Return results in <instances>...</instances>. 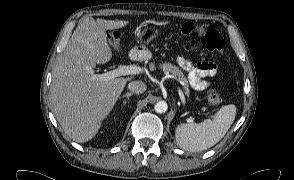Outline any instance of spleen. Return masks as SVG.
<instances>
[{
    "instance_id": "1",
    "label": "spleen",
    "mask_w": 294,
    "mask_h": 180,
    "mask_svg": "<svg viewBox=\"0 0 294 180\" xmlns=\"http://www.w3.org/2000/svg\"><path fill=\"white\" fill-rule=\"evenodd\" d=\"M235 117L233 106H223L200 124L181 123L176 126L177 143L187 150H204L215 145L227 132Z\"/></svg>"
}]
</instances>
